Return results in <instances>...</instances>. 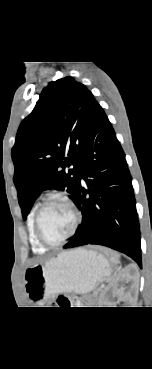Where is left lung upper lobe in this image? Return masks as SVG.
<instances>
[{"instance_id":"1","label":"left lung upper lobe","mask_w":152,"mask_h":369,"mask_svg":"<svg viewBox=\"0 0 152 369\" xmlns=\"http://www.w3.org/2000/svg\"><path fill=\"white\" fill-rule=\"evenodd\" d=\"M99 107L93 94L70 76L43 89L12 148L13 181L24 219L44 190H66L74 201L81 154Z\"/></svg>"}]
</instances>
